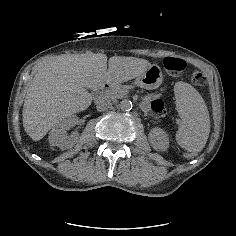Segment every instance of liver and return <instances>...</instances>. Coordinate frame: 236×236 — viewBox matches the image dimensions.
<instances>
[{
	"label": "liver",
	"instance_id": "obj_1",
	"mask_svg": "<svg viewBox=\"0 0 236 236\" xmlns=\"http://www.w3.org/2000/svg\"><path fill=\"white\" fill-rule=\"evenodd\" d=\"M147 66L144 59H108L91 51L44 57L26 92L22 110L25 132L32 140H41L49 130L61 127L70 116L91 105L87 89L97 91L105 84L114 87L143 74Z\"/></svg>",
	"mask_w": 236,
	"mask_h": 236
}]
</instances>
